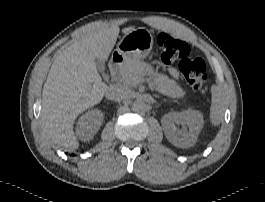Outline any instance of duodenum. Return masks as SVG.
<instances>
[{"label": "duodenum", "mask_w": 265, "mask_h": 202, "mask_svg": "<svg viewBox=\"0 0 265 202\" xmlns=\"http://www.w3.org/2000/svg\"><path fill=\"white\" fill-rule=\"evenodd\" d=\"M123 61H124V57L122 54L115 52L112 55V58H111L110 63H109V70H110L112 75H116L118 73L119 68H120L121 64L123 63Z\"/></svg>", "instance_id": "410a0bca"}]
</instances>
